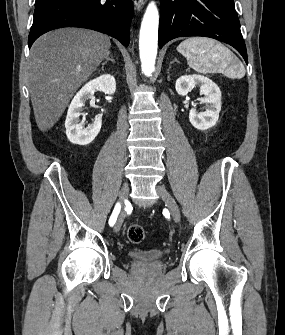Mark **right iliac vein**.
Returning <instances> with one entry per match:
<instances>
[{
  "label": "right iliac vein",
  "instance_id": "63e3f726",
  "mask_svg": "<svg viewBox=\"0 0 285 335\" xmlns=\"http://www.w3.org/2000/svg\"><path fill=\"white\" fill-rule=\"evenodd\" d=\"M128 193H129L128 184L124 183L122 185V188H121L120 194H119V198H120L121 203H123L127 199ZM123 221H124V212H121L118 219H117L116 225H115V229H114L115 232H118L120 230Z\"/></svg>",
  "mask_w": 285,
  "mask_h": 335
}]
</instances>
